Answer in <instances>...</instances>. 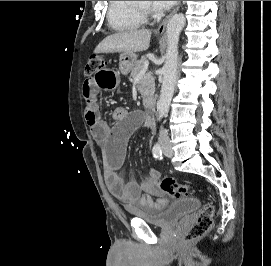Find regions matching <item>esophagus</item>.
Wrapping results in <instances>:
<instances>
[{
	"label": "esophagus",
	"mask_w": 271,
	"mask_h": 266,
	"mask_svg": "<svg viewBox=\"0 0 271 266\" xmlns=\"http://www.w3.org/2000/svg\"><path fill=\"white\" fill-rule=\"evenodd\" d=\"M180 3L172 10V12L162 21V23L158 26L157 31L162 33L165 31L166 25L169 19L178 11Z\"/></svg>",
	"instance_id": "obj_1"
}]
</instances>
